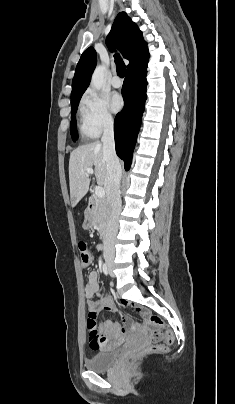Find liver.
Instances as JSON below:
<instances>
[{"mask_svg": "<svg viewBox=\"0 0 235 404\" xmlns=\"http://www.w3.org/2000/svg\"><path fill=\"white\" fill-rule=\"evenodd\" d=\"M98 185H103L105 192L106 162L103 155V146L100 142H93L77 147L70 153L69 159V185L72 207L87 194L90 178L87 168H93Z\"/></svg>", "mask_w": 235, "mask_h": 404, "instance_id": "liver-1", "label": "liver"}]
</instances>
